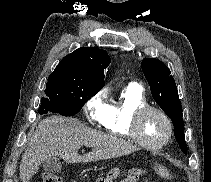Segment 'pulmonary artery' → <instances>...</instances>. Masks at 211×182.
Returning <instances> with one entry per match:
<instances>
[{
  "label": "pulmonary artery",
  "instance_id": "pulmonary-artery-1",
  "mask_svg": "<svg viewBox=\"0 0 211 182\" xmlns=\"http://www.w3.org/2000/svg\"><path fill=\"white\" fill-rule=\"evenodd\" d=\"M130 86L137 87L138 85L136 83H131Z\"/></svg>",
  "mask_w": 211,
  "mask_h": 182
}]
</instances>
